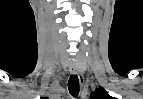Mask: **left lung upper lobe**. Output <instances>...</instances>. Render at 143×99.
I'll return each instance as SVG.
<instances>
[{
  "instance_id": "5c2ea615",
  "label": "left lung upper lobe",
  "mask_w": 143,
  "mask_h": 99,
  "mask_svg": "<svg viewBox=\"0 0 143 99\" xmlns=\"http://www.w3.org/2000/svg\"><path fill=\"white\" fill-rule=\"evenodd\" d=\"M91 99H114L103 88L91 93Z\"/></svg>"
}]
</instances>
